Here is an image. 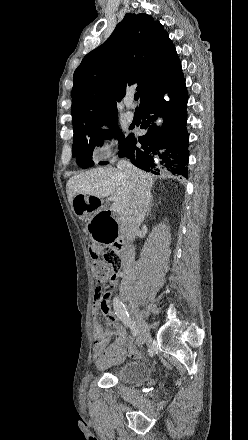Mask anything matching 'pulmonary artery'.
<instances>
[{"mask_svg":"<svg viewBox=\"0 0 248 440\" xmlns=\"http://www.w3.org/2000/svg\"><path fill=\"white\" fill-rule=\"evenodd\" d=\"M125 106H126V109H127L126 112H125V118H126L127 121L131 122L134 119V112L132 110V108H133V99H132L131 96L128 97L125 100Z\"/></svg>","mask_w":248,"mask_h":440,"instance_id":"pulmonary-artery-1","label":"pulmonary artery"}]
</instances>
